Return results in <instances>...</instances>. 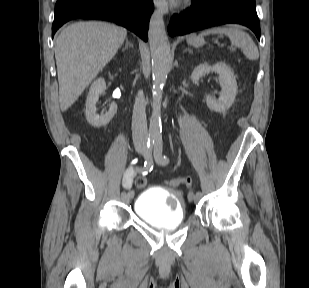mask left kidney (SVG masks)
<instances>
[{"instance_id": "left-kidney-1", "label": "left kidney", "mask_w": 309, "mask_h": 288, "mask_svg": "<svg viewBox=\"0 0 309 288\" xmlns=\"http://www.w3.org/2000/svg\"><path fill=\"white\" fill-rule=\"evenodd\" d=\"M210 71L219 74L221 92L219 99L207 96V106L210 110L225 112L232 106L237 94L238 87L236 78L230 67H228L225 63L219 62L212 66L207 63H203L195 67L191 75V80L193 83L198 84L199 79L204 77Z\"/></svg>"}]
</instances>
